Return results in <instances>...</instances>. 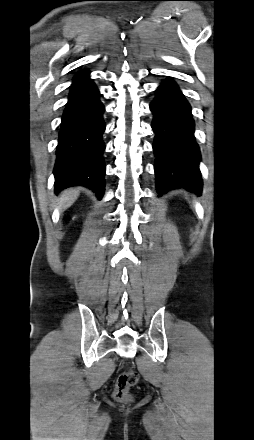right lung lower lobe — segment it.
<instances>
[{
    "mask_svg": "<svg viewBox=\"0 0 254 440\" xmlns=\"http://www.w3.org/2000/svg\"><path fill=\"white\" fill-rule=\"evenodd\" d=\"M89 73L79 71L70 86L56 149L55 191L82 185L101 198L105 186L104 106Z\"/></svg>",
    "mask_w": 254,
    "mask_h": 440,
    "instance_id": "obj_1",
    "label": "right lung lower lobe"
}]
</instances>
